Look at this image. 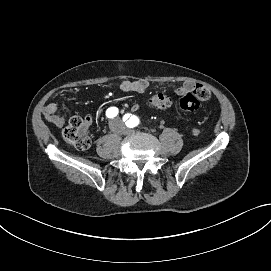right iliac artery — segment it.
Masks as SVG:
<instances>
[{"label":"right iliac artery","mask_w":271,"mask_h":271,"mask_svg":"<svg viewBox=\"0 0 271 271\" xmlns=\"http://www.w3.org/2000/svg\"><path fill=\"white\" fill-rule=\"evenodd\" d=\"M118 114V108L116 107H110L106 111V116L108 118H114Z\"/></svg>","instance_id":"1"}]
</instances>
